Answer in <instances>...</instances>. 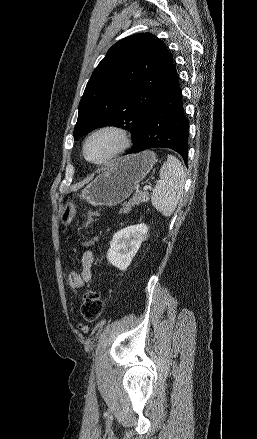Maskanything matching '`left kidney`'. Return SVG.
Returning <instances> with one entry per match:
<instances>
[{
  "label": "left kidney",
  "instance_id": "5707ae66",
  "mask_svg": "<svg viewBox=\"0 0 257 439\" xmlns=\"http://www.w3.org/2000/svg\"><path fill=\"white\" fill-rule=\"evenodd\" d=\"M147 233L148 227L145 224L128 226L116 232L107 252L109 263L120 270H126L141 243L146 240Z\"/></svg>",
  "mask_w": 257,
  "mask_h": 439
}]
</instances>
